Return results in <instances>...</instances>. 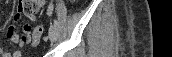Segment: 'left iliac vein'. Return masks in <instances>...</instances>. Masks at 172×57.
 <instances>
[{
	"label": "left iliac vein",
	"instance_id": "1",
	"mask_svg": "<svg viewBox=\"0 0 172 57\" xmlns=\"http://www.w3.org/2000/svg\"><path fill=\"white\" fill-rule=\"evenodd\" d=\"M58 35V27L55 25L50 26L49 28V38L52 42H54L57 39Z\"/></svg>",
	"mask_w": 172,
	"mask_h": 57
}]
</instances>
